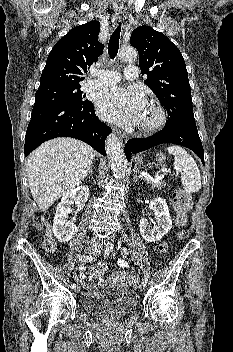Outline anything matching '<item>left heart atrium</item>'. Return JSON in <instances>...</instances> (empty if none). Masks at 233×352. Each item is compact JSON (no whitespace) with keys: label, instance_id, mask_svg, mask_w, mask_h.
Segmentation results:
<instances>
[{"label":"left heart atrium","instance_id":"1","mask_svg":"<svg viewBox=\"0 0 233 352\" xmlns=\"http://www.w3.org/2000/svg\"><path fill=\"white\" fill-rule=\"evenodd\" d=\"M96 107L103 119L129 127L141 120L146 102L141 90L116 86L98 94Z\"/></svg>","mask_w":233,"mask_h":352}]
</instances>
